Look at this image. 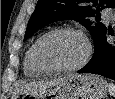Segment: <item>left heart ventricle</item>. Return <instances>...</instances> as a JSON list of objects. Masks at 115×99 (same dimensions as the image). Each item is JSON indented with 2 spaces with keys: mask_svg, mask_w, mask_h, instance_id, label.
<instances>
[{
  "mask_svg": "<svg viewBox=\"0 0 115 99\" xmlns=\"http://www.w3.org/2000/svg\"><path fill=\"white\" fill-rule=\"evenodd\" d=\"M42 60L51 67H67L78 63L85 53V44L77 35L61 33L46 39L40 48Z\"/></svg>",
  "mask_w": 115,
  "mask_h": 99,
  "instance_id": "b2bd125f",
  "label": "left heart ventricle"
}]
</instances>
